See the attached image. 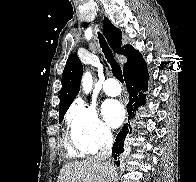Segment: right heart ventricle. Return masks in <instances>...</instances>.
<instances>
[{
  "label": "right heart ventricle",
  "mask_w": 196,
  "mask_h": 182,
  "mask_svg": "<svg viewBox=\"0 0 196 182\" xmlns=\"http://www.w3.org/2000/svg\"><path fill=\"white\" fill-rule=\"evenodd\" d=\"M69 152H70V154H71L72 156H74V157H77V156L82 155V153H80L74 146H71V147L69 148Z\"/></svg>",
  "instance_id": "obj_1"
}]
</instances>
